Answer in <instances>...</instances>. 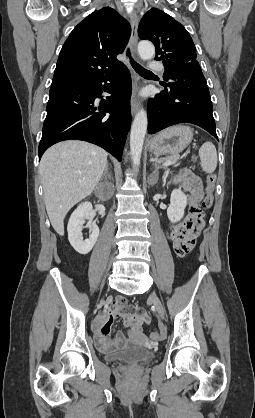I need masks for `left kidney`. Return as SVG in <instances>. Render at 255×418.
I'll return each mask as SVG.
<instances>
[{
	"instance_id": "1",
	"label": "left kidney",
	"mask_w": 255,
	"mask_h": 418,
	"mask_svg": "<svg viewBox=\"0 0 255 418\" xmlns=\"http://www.w3.org/2000/svg\"><path fill=\"white\" fill-rule=\"evenodd\" d=\"M187 205V196L180 188L174 189L171 193L170 205L167 209L168 219L172 222H178L184 216V210Z\"/></svg>"
}]
</instances>
